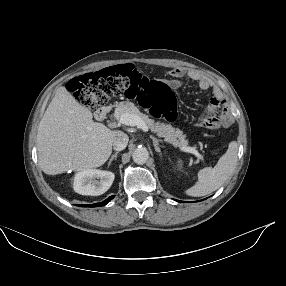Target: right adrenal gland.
<instances>
[{
	"label": "right adrenal gland",
	"mask_w": 286,
	"mask_h": 286,
	"mask_svg": "<svg viewBox=\"0 0 286 286\" xmlns=\"http://www.w3.org/2000/svg\"><path fill=\"white\" fill-rule=\"evenodd\" d=\"M118 153H119V151H117L115 154H113V155L111 156V158H110V160H109V163H108V166H110L111 163H112V161L117 158Z\"/></svg>",
	"instance_id": "obj_1"
}]
</instances>
